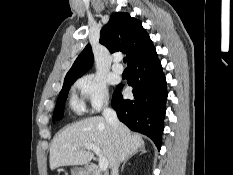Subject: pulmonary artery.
<instances>
[{"instance_id": "pulmonary-artery-1", "label": "pulmonary artery", "mask_w": 233, "mask_h": 175, "mask_svg": "<svg viewBox=\"0 0 233 175\" xmlns=\"http://www.w3.org/2000/svg\"><path fill=\"white\" fill-rule=\"evenodd\" d=\"M112 69L117 74H122L123 73V67L120 65L118 59L115 60L113 66H112Z\"/></svg>"}]
</instances>
